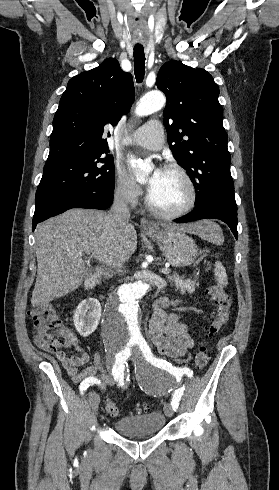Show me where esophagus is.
Instances as JSON below:
<instances>
[{"instance_id": "1", "label": "esophagus", "mask_w": 279, "mask_h": 490, "mask_svg": "<svg viewBox=\"0 0 279 490\" xmlns=\"http://www.w3.org/2000/svg\"><path fill=\"white\" fill-rule=\"evenodd\" d=\"M141 226L146 229L157 230L158 225L152 221L147 220L146 218H141Z\"/></svg>"}]
</instances>
